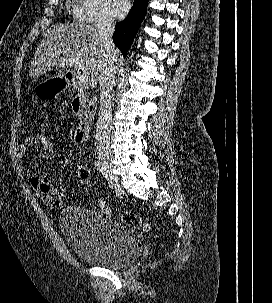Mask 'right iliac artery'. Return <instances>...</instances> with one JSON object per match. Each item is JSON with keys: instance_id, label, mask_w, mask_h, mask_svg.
<instances>
[{"instance_id": "82829eb1", "label": "right iliac artery", "mask_w": 272, "mask_h": 303, "mask_svg": "<svg viewBox=\"0 0 272 303\" xmlns=\"http://www.w3.org/2000/svg\"><path fill=\"white\" fill-rule=\"evenodd\" d=\"M95 167L97 168V170H99V172L109 181L108 178V174L106 171V168L104 167L102 161L100 160V158H97L95 160ZM111 182H109V187L112 188V186L110 185Z\"/></svg>"}]
</instances>
